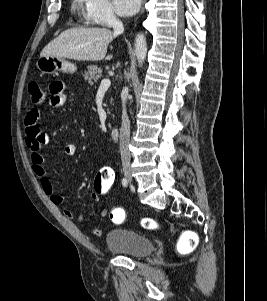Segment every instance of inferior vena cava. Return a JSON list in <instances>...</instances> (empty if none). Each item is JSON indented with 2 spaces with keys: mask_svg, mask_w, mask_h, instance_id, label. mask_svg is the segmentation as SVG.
Here are the masks:
<instances>
[{
  "mask_svg": "<svg viewBox=\"0 0 267 301\" xmlns=\"http://www.w3.org/2000/svg\"><path fill=\"white\" fill-rule=\"evenodd\" d=\"M112 27L116 34H120L124 32L123 23L117 19L116 17L112 20ZM126 96H127V88L124 89L122 96V123L120 128V153L122 163H130L131 154L129 151V141H130V120L126 111Z\"/></svg>",
  "mask_w": 267,
  "mask_h": 301,
  "instance_id": "1",
  "label": "inferior vena cava"
}]
</instances>
